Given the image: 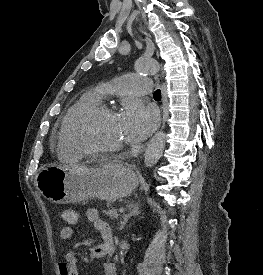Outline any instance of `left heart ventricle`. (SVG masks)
<instances>
[{
  "label": "left heart ventricle",
  "mask_w": 263,
  "mask_h": 275,
  "mask_svg": "<svg viewBox=\"0 0 263 275\" xmlns=\"http://www.w3.org/2000/svg\"><path fill=\"white\" fill-rule=\"evenodd\" d=\"M77 141L94 149L127 145L129 140L117 115H100L83 124L76 134Z\"/></svg>",
  "instance_id": "left-heart-ventricle-1"
}]
</instances>
